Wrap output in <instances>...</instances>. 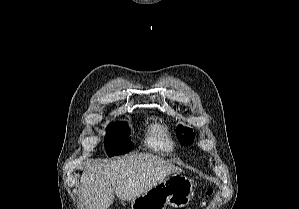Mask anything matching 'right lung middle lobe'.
I'll list each match as a JSON object with an SVG mask.
<instances>
[{"label": "right lung middle lobe", "instance_id": "obj_1", "mask_svg": "<svg viewBox=\"0 0 299 209\" xmlns=\"http://www.w3.org/2000/svg\"><path fill=\"white\" fill-rule=\"evenodd\" d=\"M130 134L126 123L116 122L108 126L105 136V147L108 155L127 153L132 148V143L127 137Z\"/></svg>", "mask_w": 299, "mask_h": 209}]
</instances>
